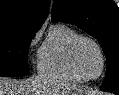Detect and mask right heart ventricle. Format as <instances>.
Here are the masks:
<instances>
[{
	"mask_svg": "<svg viewBox=\"0 0 119 95\" xmlns=\"http://www.w3.org/2000/svg\"><path fill=\"white\" fill-rule=\"evenodd\" d=\"M80 34L64 23L52 24L39 49L37 59L38 72L46 77L82 82L69 64V49Z\"/></svg>",
	"mask_w": 119,
	"mask_h": 95,
	"instance_id": "e07e8e85",
	"label": "right heart ventricle"
}]
</instances>
